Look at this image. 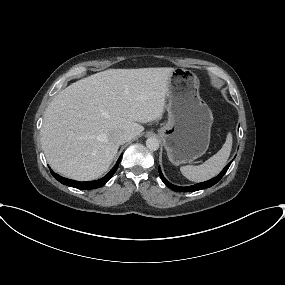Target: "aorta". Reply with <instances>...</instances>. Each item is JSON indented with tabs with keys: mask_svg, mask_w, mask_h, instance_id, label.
<instances>
[{
	"mask_svg": "<svg viewBox=\"0 0 285 285\" xmlns=\"http://www.w3.org/2000/svg\"><path fill=\"white\" fill-rule=\"evenodd\" d=\"M146 147L150 150V151H156L159 148V141L158 139L154 138V137H150L146 140Z\"/></svg>",
	"mask_w": 285,
	"mask_h": 285,
	"instance_id": "762f6f07",
	"label": "aorta"
}]
</instances>
